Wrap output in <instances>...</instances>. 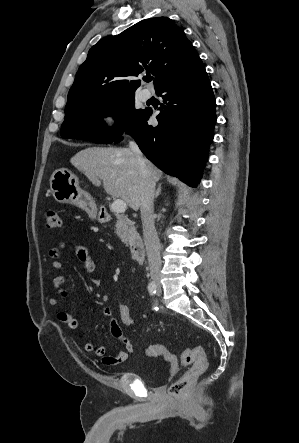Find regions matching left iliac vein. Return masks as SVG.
Segmentation results:
<instances>
[{"instance_id": "1", "label": "left iliac vein", "mask_w": 299, "mask_h": 443, "mask_svg": "<svg viewBox=\"0 0 299 443\" xmlns=\"http://www.w3.org/2000/svg\"><path fill=\"white\" fill-rule=\"evenodd\" d=\"M160 294H161V288L158 287V295H160Z\"/></svg>"}]
</instances>
